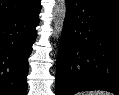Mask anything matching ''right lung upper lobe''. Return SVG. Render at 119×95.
<instances>
[{
    "label": "right lung upper lobe",
    "instance_id": "1",
    "mask_svg": "<svg viewBox=\"0 0 119 95\" xmlns=\"http://www.w3.org/2000/svg\"><path fill=\"white\" fill-rule=\"evenodd\" d=\"M39 0H0V22L22 13Z\"/></svg>",
    "mask_w": 119,
    "mask_h": 95
}]
</instances>
